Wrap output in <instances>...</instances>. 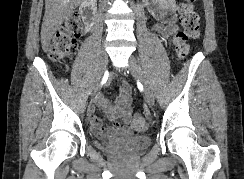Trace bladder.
Segmentation results:
<instances>
[{
	"mask_svg": "<svg viewBox=\"0 0 244 179\" xmlns=\"http://www.w3.org/2000/svg\"><path fill=\"white\" fill-rule=\"evenodd\" d=\"M151 146V139L147 136L134 138L129 141H122L119 147L111 150L115 155L131 156L141 154Z\"/></svg>",
	"mask_w": 244,
	"mask_h": 179,
	"instance_id": "31cf9c89",
	"label": "bladder"
}]
</instances>
